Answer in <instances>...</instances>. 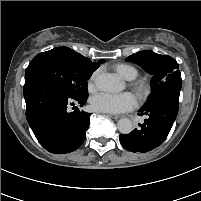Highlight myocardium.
I'll list each match as a JSON object with an SVG mask.
<instances>
[{"mask_svg":"<svg viewBox=\"0 0 201 201\" xmlns=\"http://www.w3.org/2000/svg\"><path fill=\"white\" fill-rule=\"evenodd\" d=\"M131 87L140 100H145L150 94V85L143 80L131 83Z\"/></svg>","mask_w":201,"mask_h":201,"instance_id":"f54148a6","label":"myocardium"}]
</instances>
